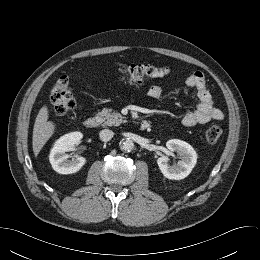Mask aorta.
Instances as JSON below:
<instances>
[{
    "mask_svg": "<svg viewBox=\"0 0 260 260\" xmlns=\"http://www.w3.org/2000/svg\"><path fill=\"white\" fill-rule=\"evenodd\" d=\"M120 149L123 151H132L134 149V143L131 139H124L120 142Z\"/></svg>",
    "mask_w": 260,
    "mask_h": 260,
    "instance_id": "1",
    "label": "aorta"
}]
</instances>
